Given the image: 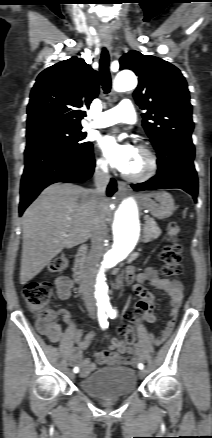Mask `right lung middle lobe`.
I'll list each match as a JSON object with an SVG mask.
<instances>
[{
    "label": "right lung middle lobe",
    "mask_w": 212,
    "mask_h": 438,
    "mask_svg": "<svg viewBox=\"0 0 212 438\" xmlns=\"http://www.w3.org/2000/svg\"><path fill=\"white\" fill-rule=\"evenodd\" d=\"M82 127L63 125H44L28 129L27 145L46 144L67 149L85 148L91 145L84 142L85 133Z\"/></svg>",
    "instance_id": "right-lung-middle-lobe-1"
}]
</instances>
